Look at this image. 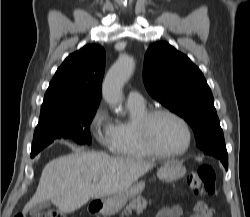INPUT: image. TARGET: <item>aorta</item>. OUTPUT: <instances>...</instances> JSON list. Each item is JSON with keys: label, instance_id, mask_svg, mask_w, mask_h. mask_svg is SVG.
I'll list each match as a JSON object with an SVG mask.
<instances>
[{"label": "aorta", "instance_id": "obj_1", "mask_svg": "<svg viewBox=\"0 0 250 217\" xmlns=\"http://www.w3.org/2000/svg\"><path fill=\"white\" fill-rule=\"evenodd\" d=\"M134 67V59L123 55L107 72L102 85V95L110 107H117L121 104L122 88L131 77Z\"/></svg>", "mask_w": 250, "mask_h": 217}]
</instances>
